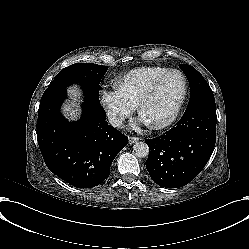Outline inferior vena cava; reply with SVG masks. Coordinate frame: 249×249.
I'll list each match as a JSON object with an SVG mask.
<instances>
[{
    "label": "inferior vena cava",
    "instance_id": "inferior-vena-cava-1",
    "mask_svg": "<svg viewBox=\"0 0 249 249\" xmlns=\"http://www.w3.org/2000/svg\"><path fill=\"white\" fill-rule=\"evenodd\" d=\"M107 120L110 125L119 128L123 124L124 117L110 109L107 112Z\"/></svg>",
    "mask_w": 249,
    "mask_h": 249
}]
</instances>
